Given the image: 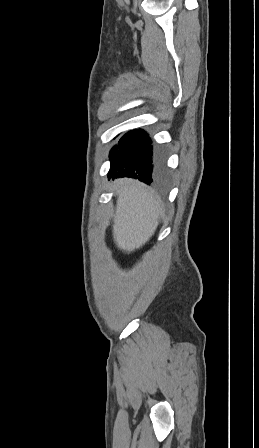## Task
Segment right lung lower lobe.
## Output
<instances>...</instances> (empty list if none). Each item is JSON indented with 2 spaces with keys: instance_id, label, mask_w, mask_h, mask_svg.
Listing matches in <instances>:
<instances>
[{
  "instance_id": "98d812e1",
  "label": "right lung lower lobe",
  "mask_w": 259,
  "mask_h": 448,
  "mask_svg": "<svg viewBox=\"0 0 259 448\" xmlns=\"http://www.w3.org/2000/svg\"><path fill=\"white\" fill-rule=\"evenodd\" d=\"M109 157V179L131 177L150 184L152 177L162 171L164 154H158L157 168L154 170L152 140L146 131L137 129L123 135L118 145L111 149Z\"/></svg>"
}]
</instances>
